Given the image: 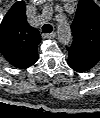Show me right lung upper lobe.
I'll return each mask as SVG.
<instances>
[{
  "instance_id": "cb5924a9",
  "label": "right lung upper lobe",
  "mask_w": 100,
  "mask_h": 118,
  "mask_svg": "<svg viewBox=\"0 0 100 118\" xmlns=\"http://www.w3.org/2000/svg\"><path fill=\"white\" fill-rule=\"evenodd\" d=\"M39 31L27 22L24 1L16 2L0 26V50L13 66L25 69L38 59Z\"/></svg>"
}]
</instances>
